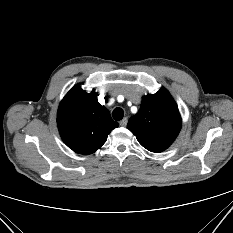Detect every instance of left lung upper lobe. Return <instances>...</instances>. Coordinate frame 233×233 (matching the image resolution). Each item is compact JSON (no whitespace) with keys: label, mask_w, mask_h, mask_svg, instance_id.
<instances>
[{"label":"left lung upper lobe","mask_w":233,"mask_h":233,"mask_svg":"<svg viewBox=\"0 0 233 233\" xmlns=\"http://www.w3.org/2000/svg\"><path fill=\"white\" fill-rule=\"evenodd\" d=\"M181 116L165 88L144 96L139 112L128 122V129L151 152H162L175 140L181 129Z\"/></svg>","instance_id":"5c2ea615"}]
</instances>
